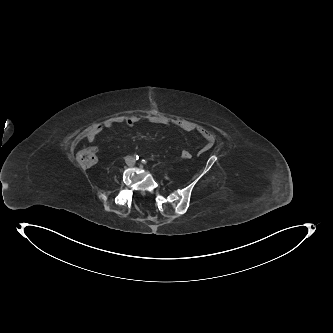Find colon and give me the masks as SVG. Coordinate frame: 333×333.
<instances>
[{
  "instance_id": "obj_1",
  "label": "colon",
  "mask_w": 333,
  "mask_h": 333,
  "mask_svg": "<svg viewBox=\"0 0 333 333\" xmlns=\"http://www.w3.org/2000/svg\"><path fill=\"white\" fill-rule=\"evenodd\" d=\"M180 157L183 160H190L193 157V154L189 149H183L180 152ZM96 160V150L93 148L82 149L76 154L77 163L85 168L93 166L96 163Z\"/></svg>"
}]
</instances>
